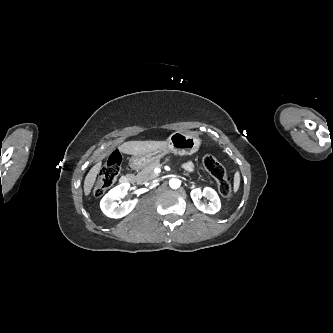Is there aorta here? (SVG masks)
<instances>
[{
  "label": "aorta",
  "mask_w": 333,
  "mask_h": 333,
  "mask_svg": "<svg viewBox=\"0 0 333 333\" xmlns=\"http://www.w3.org/2000/svg\"><path fill=\"white\" fill-rule=\"evenodd\" d=\"M169 185L172 189H178L181 185V181L177 178H172L169 181Z\"/></svg>",
  "instance_id": "obj_1"
}]
</instances>
